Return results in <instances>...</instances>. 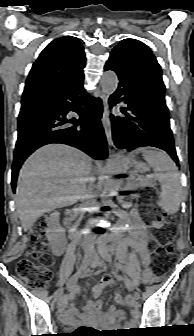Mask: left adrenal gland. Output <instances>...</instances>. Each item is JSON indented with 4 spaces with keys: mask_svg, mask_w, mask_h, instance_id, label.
Here are the masks:
<instances>
[{
    "mask_svg": "<svg viewBox=\"0 0 194 336\" xmlns=\"http://www.w3.org/2000/svg\"><path fill=\"white\" fill-rule=\"evenodd\" d=\"M132 178H134V176L131 174L130 175V183L132 184L134 181L132 180Z\"/></svg>",
    "mask_w": 194,
    "mask_h": 336,
    "instance_id": "left-adrenal-gland-1",
    "label": "left adrenal gland"
}]
</instances>
